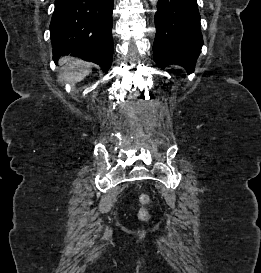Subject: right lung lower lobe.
<instances>
[{"mask_svg": "<svg viewBox=\"0 0 261 273\" xmlns=\"http://www.w3.org/2000/svg\"><path fill=\"white\" fill-rule=\"evenodd\" d=\"M114 0H55L50 23L53 58L71 54L107 72L112 63Z\"/></svg>", "mask_w": 261, "mask_h": 273, "instance_id": "right-lung-lower-lobe-1", "label": "right lung lower lobe"}]
</instances>
